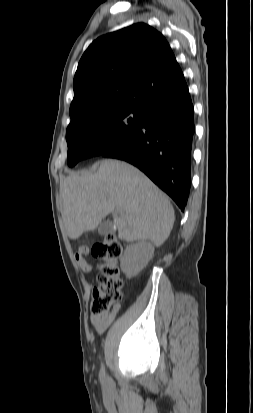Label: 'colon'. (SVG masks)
Listing matches in <instances>:
<instances>
[{
  "label": "colon",
  "mask_w": 253,
  "mask_h": 413,
  "mask_svg": "<svg viewBox=\"0 0 253 413\" xmlns=\"http://www.w3.org/2000/svg\"><path fill=\"white\" fill-rule=\"evenodd\" d=\"M91 252L100 261L97 286L92 293L91 313L103 316L123 298L124 280L118 265L122 247L115 236L108 235L97 242Z\"/></svg>",
  "instance_id": "obj_1"
}]
</instances>
